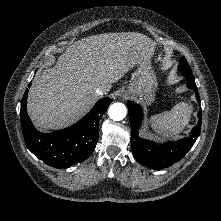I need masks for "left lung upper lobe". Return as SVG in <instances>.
Listing matches in <instances>:
<instances>
[{
    "label": "left lung upper lobe",
    "mask_w": 221,
    "mask_h": 221,
    "mask_svg": "<svg viewBox=\"0 0 221 221\" xmlns=\"http://www.w3.org/2000/svg\"><path fill=\"white\" fill-rule=\"evenodd\" d=\"M180 67L183 71H191L187 61L185 58H181L180 60Z\"/></svg>",
    "instance_id": "5c2ea615"
}]
</instances>
